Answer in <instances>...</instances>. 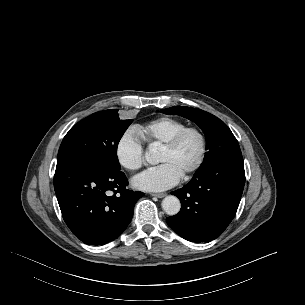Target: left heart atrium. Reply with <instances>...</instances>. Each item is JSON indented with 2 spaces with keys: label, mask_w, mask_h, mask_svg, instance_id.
<instances>
[{
  "label": "left heart atrium",
  "mask_w": 305,
  "mask_h": 305,
  "mask_svg": "<svg viewBox=\"0 0 305 305\" xmlns=\"http://www.w3.org/2000/svg\"><path fill=\"white\" fill-rule=\"evenodd\" d=\"M182 178L181 172L170 163L151 168L133 179V185L144 191H163L175 186Z\"/></svg>",
  "instance_id": "1"
}]
</instances>
